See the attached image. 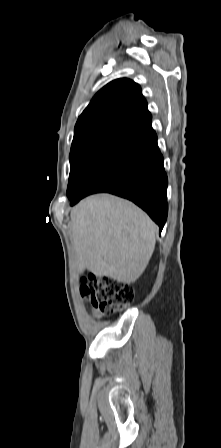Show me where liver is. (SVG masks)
Segmentation results:
<instances>
[{
    "label": "liver",
    "mask_w": 221,
    "mask_h": 448,
    "mask_svg": "<svg viewBox=\"0 0 221 448\" xmlns=\"http://www.w3.org/2000/svg\"><path fill=\"white\" fill-rule=\"evenodd\" d=\"M71 239L79 270L130 284L146 269L157 227L139 207L110 194L87 197L71 211Z\"/></svg>",
    "instance_id": "obj_1"
}]
</instances>
